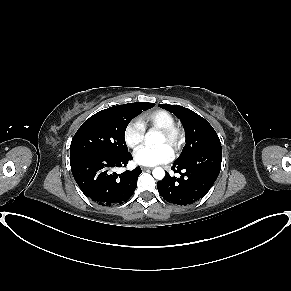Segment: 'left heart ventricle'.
Returning <instances> with one entry per match:
<instances>
[{"mask_svg": "<svg viewBox=\"0 0 291 291\" xmlns=\"http://www.w3.org/2000/svg\"><path fill=\"white\" fill-rule=\"evenodd\" d=\"M157 145H161V144H167L166 138L160 133L158 135V139L156 141Z\"/></svg>", "mask_w": 291, "mask_h": 291, "instance_id": "b2bd125f", "label": "left heart ventricle"}]
</instances>
